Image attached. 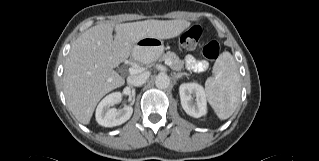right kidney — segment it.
I'll return each mask as SVG.
<instances>
[{
  "mask_svg": "<svg viewBox=\"0 0 319 161\" xmlns=\"http://www.w3.org/2000/svg\"><path fill=\"white\" fill-rule=\"evenodd\" d=\"M121 101V93L113 92L107 95L98 104L96 109V121L104 127H114L125 123L130 119L133 108L125 106L122 109L110 108Z\"/></svg>",
  "mask_w": 319,
  "mask_h": 161,
  "instance_id": "ca27d5eb",
  "label": "right kidney"
}]
</instances>
